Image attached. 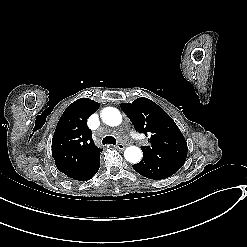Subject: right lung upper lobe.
<instances>
[{"mask_svg": "<svg viewBox=\"0 0 247 247\" xmlns=\"http://www.w3.org/2000/svg\"><path fill=\"white\" fill-rule=\"evenodd\" d=\"M99 103L80 98L70 104L56 126L52 139V156L58 170L73 178L87 169L103 149L95 146L86 121Z\"/></svg>", "mask_w": 247, "mask_h": 247, "instance_id": "cb5924a9", "label": "right lung upper lobe"}]
</instances>
